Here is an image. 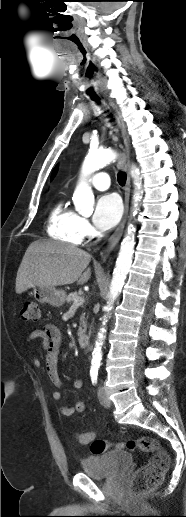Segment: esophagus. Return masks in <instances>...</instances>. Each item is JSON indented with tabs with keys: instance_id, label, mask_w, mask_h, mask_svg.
I'll list each match as a JSON object with an SVG mask.
<instances>
[{
	"instance_id": "34e87169",
	"label": "esophagus",
	"mask_w": 186,
	"mask_h": 517,
	"mask_svg": "<svg viewBox=\"0 0 186 517\" xmlns=\"http://www.w3.org/2000/svg\"><path fill=\"white\" fill-rule=\"evenodd\" d=\"M109 104L113 109V112L115 114L118 126L121 130V134H122V137L124 140V145H125L124 158L128 160L129 156H130V140H129V136L127 134L126 125L123 121V118H122L116 104L114 102H112L111 100H109ZM126 169H127V180H126V185H125L124 214H123V217H122V220H121L119 226L108 239L107 248H106L105 252L101 254V262H104L106 260L108 254L111 251H113L115 246L118 244V242L121 239V236L123 234V230H124L125 223L127 220V215H128V210H129L130 191H131V180H130V175H129L128 163L126 165Z\"/></svg>"
}]
</instances>
